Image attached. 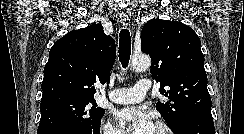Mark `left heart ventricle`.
<instances>
[{"mask_svg":"<svg viewBox=\"0 0 244 134\" xmlns=\"http://www.w3.org/2000/svg\"><path fill=\"white\" fill-rule=\"evenodd\" d=\"M152 134H165V133L161 129L155 126Z\"/></svg>","mask_w":244,"mask_h":134,"instance_id":"obj_1","label":"left heart ventricle"}]
</instances>
